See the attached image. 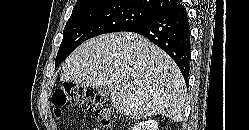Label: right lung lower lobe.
Returning a JSON list of instances; mask_svg holds the SVG:
<instances>
[{
    "instance_id": "98d812e1",
    "label": "right lung lower lobe",
    "mask_w": 249,
    "mask_h": 130,
    "mask_svg": "<svg viewBox=\"0 0 249 130\" xmlns=\"http://www.w3.org/2000/svg\"><path fill=\"white\" fill-rule=\"evenodd\" d=\"M143 35L163 49L178 65L188 84L190 60V25L186 8L176 3L153 18L127 28Z\"/></svg>"
}]
</instances>
